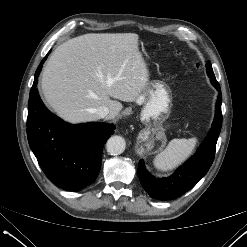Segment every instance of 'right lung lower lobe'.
Here are the masks:
<instances>
[{
    "mask_svg": "<svg viewBox=\"0 0 247 247\" xmlns=\"http://www.w3.org/2000/svg\"><path fill=\"white\" fill-rule=\"evenodd\" d=\"M40 70L37 68L28 102V142L43 172L56 186L80 191L98 176L103 146L115 126L98 122L71 125L53 115L36 89Z\"/></svg>",
    "mask_w": 247,
    "mask_h": 247,
    "instance_id": "obj_1",
    "label": "right lung lower lobe"
}]
</instances>
